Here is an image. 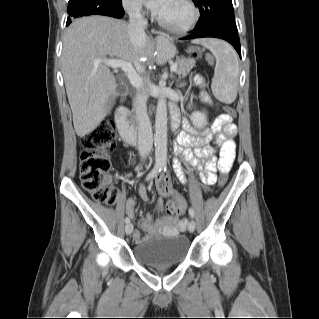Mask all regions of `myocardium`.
I'll return each mask as SVG.
<instances>
[{
  "label": "myocardium",
  "instance_id": "f54148a6",
  "mask_svg": "<svg viewBox=\"0 0 319 319\" xmlns=\"http://www.w3.org/2000/svg\"><path fill=\"white\" fill-rule=\"evenodd\" d=\"M182 2L186 5V7L189 9L190 15L187 20H185L182 23H170L159 16L156 17V22L158 23L159 26L162 28L173 32V33H185L189 31L197 22L198 17H199V9L197 6L194 4L192 0H182Z\"/></svg>",
  "mask_w": 319,
  "mask_h": 319
}]
</instances>
